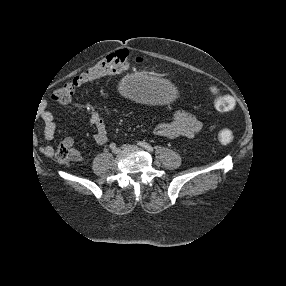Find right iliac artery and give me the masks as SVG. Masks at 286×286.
<instances>
[{"label":"right iliac artery","mask_w":286,"mask_h":286,"mask_svg":"<svg viewBox=\"0 0 286 286\" xmlns=\"http://www.w3.org/2000/svg\"><path fill=\"white\" fill-rule=\"evenodd\" d=\"M109 147H110V149H112V150H113V149H115V148H116V144H115V143H111Z\"/></svg>","instance_id":"right-iliac-artery-1"}]
</instances>
